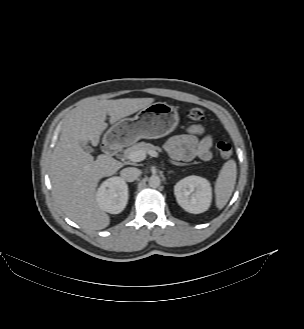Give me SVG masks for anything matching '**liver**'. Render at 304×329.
Returning <instances> with one entry per match:
<instances>
[{"label":"liver","instance_id":"6515ba94","mask_svg":"<svg viewBox=\"0 0 304 329\" xmlns=\"http://www.w3.org/2000/svg\"><path fill=\"white\" fill-rule=\"evenodd\" d=\"M154 102V98H124L91 101L78 108L63 128L53 151L50 179L57 203L64 214L90 230H101L110 223L108 214L96 200V187L101 178L115 174L123 164L108 155L96 160L81 142L96 146L110 124L134 114Z\"/></svg>","mask_w":304,"mask_h":329}]
</instances>
